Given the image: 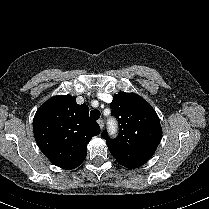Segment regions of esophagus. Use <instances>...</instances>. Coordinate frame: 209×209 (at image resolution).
I'll list each match as a JSON object with an SVG mask.
<instances>
[{
    "label": "esophagus",
    "mask_w": 209,
    "mask_h": 209,
    "mask_svg": "<svg viewBox=\"0 0 209 209\" xmlns=\"http://www.w3.org/2000/svg\"><path fill=\"white\" fill-rule=\"evenodd\" d=\"M98 124H99V126H100V128L102 130L103 127H104V121L102 119H100V120H98Z\"/></svg>",
    "instance_id": "esophagus-1"
}]
</instances>
